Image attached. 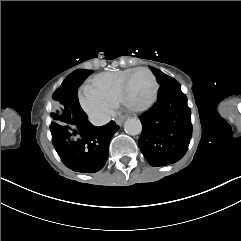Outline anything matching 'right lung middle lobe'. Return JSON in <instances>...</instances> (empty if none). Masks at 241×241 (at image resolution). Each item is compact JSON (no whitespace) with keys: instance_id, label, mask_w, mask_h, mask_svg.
Returning <instances> with one entry per match:
<instances>
[{"instance_id":"1","label":"right lung middle lobe","mask_w":241,"mask_h":241,"mask_svg":"<svg viewBox=\"0 0 241 241\" xmlns=\"http://www.w3.org/2000/svg\"><path fill=\"white\" fill-rule=\"evenodd\" d=\"M93 71L92 70H77L74 76H78L85 80ZM67 79L61 84L58 90L53 94L51 103V119L52 123L50 126L51 130H58L64 128H70L74 125L72 115L66 104L65 92L68 90Z\"/></svg>"}]
</instances>
